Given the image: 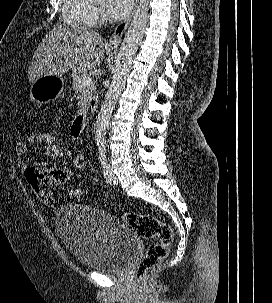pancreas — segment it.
<instances>
[{"instance_id": "obj_1", "label": "pancreas", "mask_w": 272, "mask_h": 303, "mask_svg": "<svg viewBox=\"0 0 272 303\" xmlns=\"http://www.w3.org/2000/svg\"><path fill=\"white\" fill-rule=\"evenodd\" d=\"M87 74L75 75L72 81V89L78 94V104L81 107H86L91 101L96 90L94 84L84 86L82 85V78Z\"/></svg>"}]
</instances>
